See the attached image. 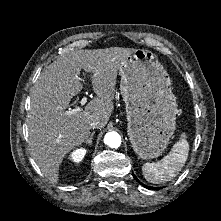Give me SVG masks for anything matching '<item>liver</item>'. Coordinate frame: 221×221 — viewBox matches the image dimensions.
Returning <instances> with one entry per match:
<instances>
[{"instance_id": "liver-1", "label": "liver", "mask_w": 221, "mask_h": 221, "mask_svg": "<svg viewBox=\"0 0 221 221\" xmlns=\"http://www.w3.org/2000/svg\"><path fill=\"white\" fill-rule=\"evenodd\" d=\"M136 49L111 47L60 55L39 76L31 90L27 115L30 153L45 177L57 183L66 155L91 135L90 123L103 128L114 110L118 70ZM81 69L90 73L96 97L80 112L66 115L71 99L83 88Z\"/></svg>"}]
</instances>
